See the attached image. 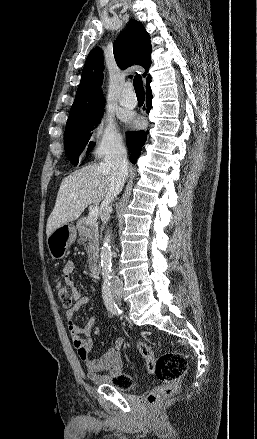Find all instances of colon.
Returning <instances> with one entry per match:
<instances>
[{
	"mask_svg": "<svg viewBox=\"0 0 257 439\" xmlns=\"http://www.w3.org/2000/svg\"><path fill=\"white\" fill-rule=\"evenodd\" d=\"M56 290L62 305L70 307L75 301L73 289L67 284L58 282ZM138 349L145 359L148 369L161 382V385L148 394L147 401L149 404H159L176 392L180 379L187 371L188 362L182 354L177 352L165 353L156 359L144 341L138 343ZM112 384L115 388L122 390H130L134 386L132 378L126 373L115 375L112 378Z\"/></svg>",
	"mask_w": 257,
	"mask_h": 439,
	"instance_id": "1",
	"label": "colon"
}]
</instances>
